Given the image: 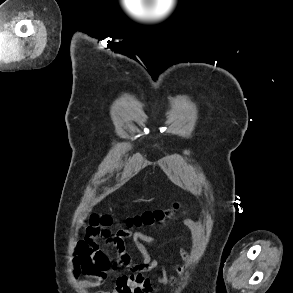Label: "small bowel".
Returning a JSON list of instances; mask_svg holds the SVG:
<instances>
[{"label":"small bowel","instance_id":"c3829d8e","mask_svg":"<svg viewBox=\"0 0 293 293\" xmlns=\"http://www.w3.org/2000/svg\"><path fill=\"white\" fill-rule=\"evenodd\" d=\"M183 224L190 232L191 243L195 250L198 244V227L195 223L184 221ZM162 226H159L161 228ZM130 241L141 258L139 264H134L126 249V241ZM156 239L147 232L122 229L109 232L104 236L90 233L75 244V255L72 260V276H86L79 281L82 288H96L103 286L109 275H117L114 286L108 291L97 293H152L154 285L142 272L156 270L158 260L148 252L145 244H155ZM181 264L172 267L175 274L182 273L190 260V253L185 247L178 248ZM121 268L135 271L131 275H118ZM156 280L161 285H168L174 281V275L167 270H161Z\"/></svg>","mask_w":293,"mask_h":293}]
</instances>
